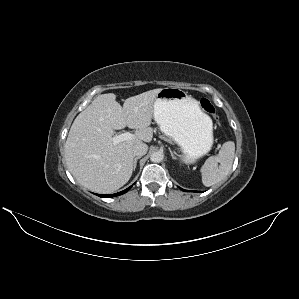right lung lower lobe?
<instances>
[{
  "mask_svg": "<svg viewBox=\"0 0 299 299\" xmlns=\"http://www.w3.org/2000/svg\"><path fill=\"white\" fill-rule=\"evenodd\" d=\"M132 186H130L129 188L125 189L124 191H121L119 193H116V194H111V195H98L102 198H110V197H115V196H118V195H122L124 193H126Z\"/></svg>",
  "mask_w": 299,
  "mask_h": 299,
  "instance_id": "right-lung-lower-lobe-1",
  "label": "right lung lower lobe"
}]
</instances>
